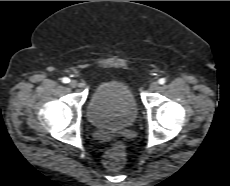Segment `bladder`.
Segmentation results:
<instances>
[{
    "label": "bladder",
    "mask_w": 230,
    "mask_h": 186,
    "mask_svg": "<svg viewBox=\"0 0 230 186\" xmlns=\"http://www.w3.org/2000/svg\"><path fill=\"white\" fill-rule=\"evenodd\" d=\"M89 122L97 128L122 129L137 117L131 90L119 81H105L94 89L87 108Z\"/></svg>",
    "instance_id": "1"
}]
</instances>
